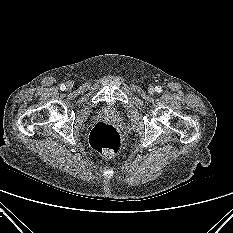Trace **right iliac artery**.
<instances>
[{"label": "right iliac artery", "mask_w": 233, "mask_h": 233, "mask_svg": "<svg viewBox=\"0 0 233 233\" xmlns=\"http://www.w3.org/2000/svg\"><path fill=\"white\" fill-rule=\"evenodd\" d=\"M60 89L64 91L66 89V86L64 84H61Z\"/></svg>", "instance_id": "obj_1"}]
</instances>
